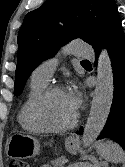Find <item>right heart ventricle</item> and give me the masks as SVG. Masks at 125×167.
Returning <instances> with one entry per match:
<instances>
[{
	"instance_id": "obj_1",
	"label": "right heart ventricle",
	"mask_w": 125,
	"mask_h": 167,
	"mask_svg": "<svg viewBox=\"0 0 125 167\" xmlns=\"http://www.w3.org/2000/svg\"><path fill=\"white\" fill-rule=\"evenodd\" d=\"M46 88L47 83L32 78L28 94L18 111L17 119L19 124L24 130L33 134H39L43 132V130L39 128L33 120L32 108L38 96Z\"/></svg>"
}]
</instances>
